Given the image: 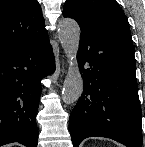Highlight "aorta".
I'll list each match as a JSON object with an SVG mask.
<instances>
[{"label":"aorta","instance_id":"aorta-1","mask_svg":"<svg viewBox=\"0 0 145 147\" xmlns=\"http://www.w3.org/2000/svg\"><path fill=\"white\" fill-rule=\"evenodd\" d=\"M58 38L68 59V72L63 84L62 100L66 104L77 102L83 92V79L77 63L80 27L71 18L58 23Z\"/></svg>","mask_w":145,"mask_h":147}]
</instances>
